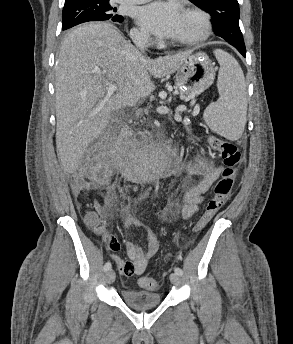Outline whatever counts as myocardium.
<instances>
[{
	"mask_svg": "<svg viewBox=\"0 0 293 344\" xmlns=\"http://www.w3.org/2000/svg\"><path fill=\"white\" fill-rule=\"evenodd\" d=\"M183 14L192 15L196 17L199 21V31L198 33L190 38L173 41L174 46H193L206 41L212 32V23L209 14L201 8L198 7H188L184 9Z\"/></svg>",
	"mask_w": 293,
	"mask_h": 344,
	"instance_id": "1",
	"label": "myocardium"
}]
</instances>
